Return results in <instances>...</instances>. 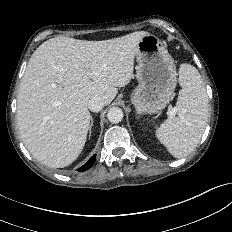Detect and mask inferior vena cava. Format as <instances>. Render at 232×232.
Here are the masks:
<instances>
[{"label": "inferior vena cava", "instance_id": "obj_1", "mask_svg": "<svg viewBox=\"0 0 232 232\" xmlns=\"http://www.w3.org/2000/svg\"><path fill=\"white\" fill-rule=\"evenodd\" d=\"M103 107H104V101L101 97H98V96L92 97L88 101V108L92 112H99Z\"/></svg>", "mask_w": 232, "mask_h": 232}]
</instances>
